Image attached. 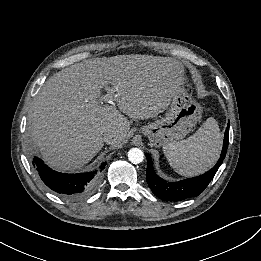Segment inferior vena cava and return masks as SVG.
I'll return each instance as SVG.
<instances>
[{"label":"inferior vena cava","instance_id":"1","mask_svg":"<svg viewBox=\"0 0 261 261\" xmlns=\"http://www.w3.org/2000/svg\"><path fill=\"white\" fill-rule=\"evenodd\" d=\"M116 138V134L112 131L106 130L104 133V140L106 143H109L112 139Z\"/></svg>","mask_w":261,"mask_h":261}]
</instances>
